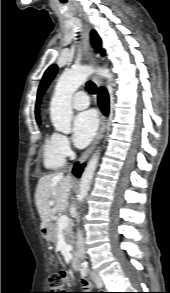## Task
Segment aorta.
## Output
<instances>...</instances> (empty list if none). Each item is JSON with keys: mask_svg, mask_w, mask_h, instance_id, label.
Segmentation results:
<instances>
[{"mask_svg": "<svg viewBox=\"0 0 170 293\" xmlns=\"http://www.w3.org/2000/svg\"><path fill=\"white\" fill-rule=\"evenodd\" d=\"M94 72L108 80H112V74L108 69H94L90 66L75 68L64 72L60 76L50 103V118L56 131L65 134L71 132V120L73 117V110L71 107L72 95ZM98 160L99 151L93 154L84 169L78 195L80 202H83L90 190Z\"/></svg>", "mask_w": 170, "mask_h": 293, "instance_id": "1", "label": "aorta"}]
</instances>
